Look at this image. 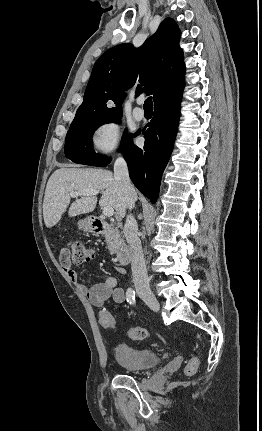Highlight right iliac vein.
<instances>
[{"mask_svg": "<svg viewBox=\"0 0 262 431\" xmlns=\"http://www.w3.org/2000/svg\"><path fill=\"white\" fill-rule=\"evenodd\" d=\"M140 296L151 309H159V301L150 290L140 292Z\"/></svg>", "mask_w": 262, "mask_h": 431, "instance_id": "obj_1", "label": "right iliac vein"}]
</instances>
